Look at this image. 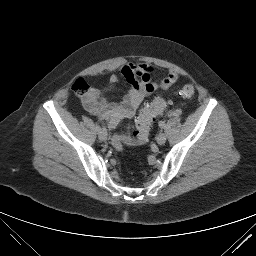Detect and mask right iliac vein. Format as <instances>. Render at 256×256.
Masks as SVG:
<instances>
[{
  "label": "right iliac vein",
  "mask_w": 256,
  "mask_h": 256,
  "mask_svg": "<svg viewBox=\"0 0 256 256\" xmlns=\"http://www.w3.org/2000/svg\"><path fill=\"white\" fill-rule=\"evenodd\" d=\"M98 137L101 141H106L107 140V132L105 130H101L98 132Z\"/></svg>",
  "instance_id": "right-iliac-vein-1"
}]
</instances>
